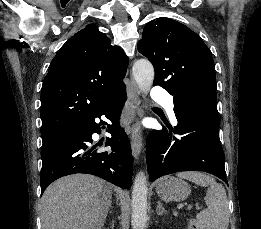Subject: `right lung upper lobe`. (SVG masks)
Wrapping results in <instances>:
<instances>
[{"mask_svg": "<svg viewBox=\"0 0 261 229\" xmlns=\"http://www.w3.org/2000/svg\"><path fill=\"white\" fill-rule=\"evenodd\" d=\"M129 59L94 24L58 51L41 90V131L61 136L89 122L116 94L126 90Z\"/></svg>", "mask_w": 261, "mask_h": 229, "instance_id": "right-lung-upper-lobe-1", "label": "right lung upper lobe"}]
</instances>
